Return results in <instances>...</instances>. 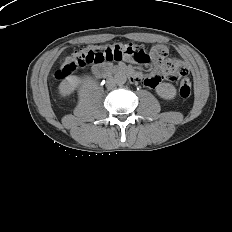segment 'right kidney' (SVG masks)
I'll list each match as a JSON object with an SVG mask.
<instances>
[{"instance_id": "obj_1", "label": "right kidney", "mask_w": 232, "mask_h": 232, "mask_svg": "<svg viewBox=\"0 0 232 232\" xmlns=\"http://www.w3.org/2000/svg\"><path fill=\"white\" fill-rule=\"evenodd\" d=\"M81 80L78 77L70 76L63 80L59 85V93L61 96H68L72 94L80 85Z\"/></svg>"}]
</instances>
